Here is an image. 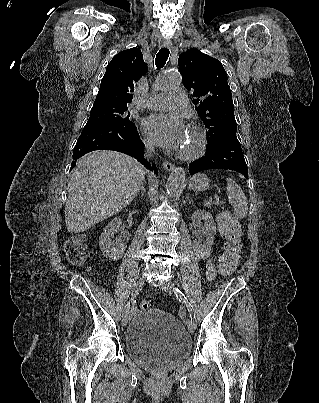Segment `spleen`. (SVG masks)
Wrapping results in <instances>:
<instances>
[{"label":"spleen","mask_w":319,"mask_h":403,"mask_svg":"<svg viewBox=\"0 0 319 403\" xmlns=\"http://www.w3.org/2000/svg\"><path fill=\"white\" fill-rule=\"evenodd\" d=\"M227 182V196L230 204L234 208V217L236 219H243L247 216L248 202L242 188L231 178H226ZM211 201L203 202L206 207H211Z\"/></svg>","instance_id":"1"}]
</instances>
